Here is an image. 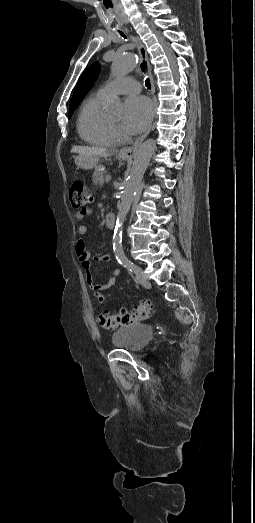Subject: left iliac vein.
Here are the masks:
<instances>
[{
	"label": "left iliac vein",
	"mask_w": 255,
	"mask_h": 523,
	"mask_svg": "<svg viewBox=\"0 0 255 523\" xmlns=\"http://www.w3.org/2000/svg\"><path fill=\"white\" fill-rule=\"evenodd\" d=\"M136 278H137V281L145 288L151 287L150 282L143 276L142 271L136 273Z\"/></svg>",
	"instance_id": "4c4485c4"
}]
</instances>
